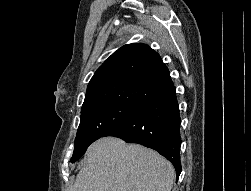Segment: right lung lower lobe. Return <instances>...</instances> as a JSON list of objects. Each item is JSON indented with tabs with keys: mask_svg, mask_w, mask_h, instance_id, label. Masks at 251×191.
Masks as SVG:
<instances>
[{
	"mask_svg": "<svg viewBox=\"0 0 251 191\" xmlns=\"http://www.w3.org/2000/svg\"><path fill=\"white\" fill-rule=\"evenodd\" d=\"M106 136L118 137L127 143H139L156 150L173 164L178 180L181 173V137L175 87L148 102Z\"/></svg>",
	"mask_w": 251,
	"mask_h": 191,
	"instance_id": "1",
	"label": "right lung lower lobe"
}]
</instances>
